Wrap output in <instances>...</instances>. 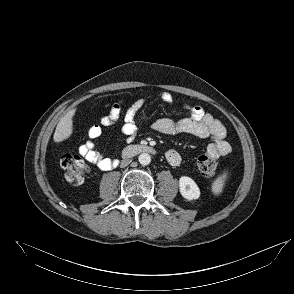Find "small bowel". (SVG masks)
I'll return each instance as SVG.
<instances>
[{
	"label": "small bowel",
	"mask_w": 294,
	"mask_h": 294,
	"mask_svg": "<svg viewBox=\"0 0 294 294\" xmlns=\"http://www.w3.org/2000/svg\"><path fill=\"white\" fill-rule=\"evenodd\" d=\"M158 97L165 104L175 103V98L169 92L163 91L159 93ZM146 104L147 99H139L132 104L124 115L121 131L127 136L128 141H132L137 136L136 115ZM181 108L186 112L185 118L177 121L159 118L152 123V129L166 135L187 133L202 138L209 137L212 142L208 145L206 154L216 159L227 156L231 152V146L226 141V129L218 119L205 112L201 107L187 102H182ZM119 117V106L114 104L110 113L100 119V124H94L90 127L88 139L79 147L80 154L87 161L105 171L115 168L118 165V160L104 157L96 149L94 141L101 136L103 127L114 125ZM165 158L171 166H178L182 161L180 153L174 149L167 151Z\"/></svg>",
	"instance_id": "c3829d8e"
}]
</instances>
